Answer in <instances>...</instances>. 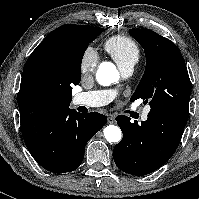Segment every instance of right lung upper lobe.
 <instances>
[{
	"label": "right lung upper lobe",
	"mask_w": 199,
	"mask_h": 199,
	"mask_svg": "<svg viewBox=\"0 0 199 199\" xmlns=\"http://www.w3.org/2000/svg\"><path fill=\"white\" fill-rule=\"evenodd\" d=\"M74 26L80 25L67 24L50 32L24 66L18 107L21 131L27 145L50 133L59 117L71 110L72 95L53 77L50 62L69 40V30Z\"/></svg>",
	"instance_id": "1"
}]
</instances>
